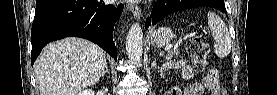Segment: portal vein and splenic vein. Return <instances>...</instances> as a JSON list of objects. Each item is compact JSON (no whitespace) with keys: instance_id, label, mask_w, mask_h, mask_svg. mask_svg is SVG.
I'll list each match as a JSON object with an SVG mask.
<instances>
[{"instance_id":"1","label":"portal vein and splenic vein","mask_w":277,"mask_h":95,"mask_svg":"<svg viewBox=\"0 0 277 95\" xmlns=\"http://www.w3.org/2000/svg\"><path fill=\"white\" fill-rule=\"evenodd\" d=\"M173 47V45H169L165 48L166 51L170 50Z\"/></svg>"}]
</instances>
